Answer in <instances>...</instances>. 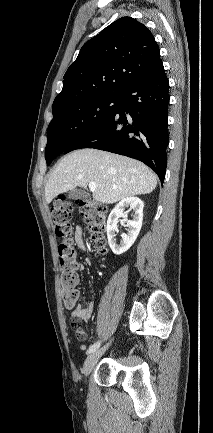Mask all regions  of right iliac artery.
<instances>
[{"label":"right iliac artery","mask_w":213,"mask_h":433,"mask_svg":"<svg viewBox=\"0 0 213 433\" xmlns=\"http://www.w3.org/2000/svg\"><path fill=\"white\" fill-rule=\"evenodd\" d=\"M100 346V342H96L94 344H92L89 349L87 350V354H91L92 352L96 351V349H98V347Z\"/></svg>","instance_id":"obj_1"}]
</instances>
